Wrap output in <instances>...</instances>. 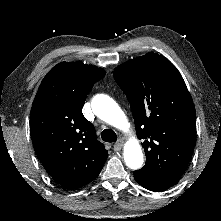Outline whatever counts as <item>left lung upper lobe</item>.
Here are the masks:
<instances>
[{
  "label": "left lung upper lobe",
  "instance_id": "obj_1",
  "mask_svg": "<svg viewBox=\"0 0 221 221\" xmlns=\"http://www.w3.org/2000/svg\"><path fill=\"white\" fill-rule=\"evenodd\" d=\"M113 76L130 102L146 163L133 174L142 179H180L196 139L195 107L174 65L147 53L116 67Z\"/></svg>",
  "mask_w": 221,
  "mask_h": 221
}]
</instances>
